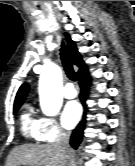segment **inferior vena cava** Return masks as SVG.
I'll return each mask as SVG.
<instances>
[{
	"instance_id": "inferior-vena-cava-1",
	"label": "inferior vena cava",
	"mask_w": 135,
	"mask_h": 166,
	"mask_svg": "<svg viewBox=\"0 0 135 166\" xmlns=\"http://www.w3.org/2000/svg\"><path fill=\"white\" fill-rule=\"evenodd\" d=\"M69 137L70 136L68 133H61L57 141V145L64 153H66V150L69 146Z\"/></svg>"
}]
</instances>
